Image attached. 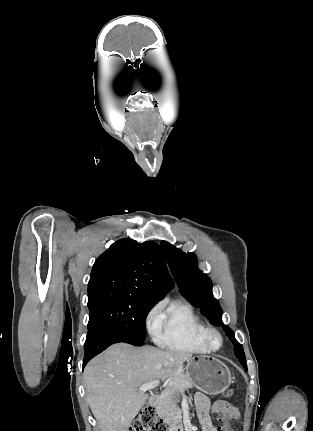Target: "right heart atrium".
<instances>
[{
    "label": "right heart atrium",
    "mask_w": 313,
    "mask_h": 431,
    "mask_svg": "<svg viewBox=\"0 0 313 431\" xmlns=\"http://www.w3.org/2000/svg\"><path fill=\"white\" fill-rule=\"evenodd\" d=\"M146 326L150 334L156 338L161 328V305L153 306L146 315Z\"/></svg>",
    "instance_id": "obj_1"
}]
</instances>
